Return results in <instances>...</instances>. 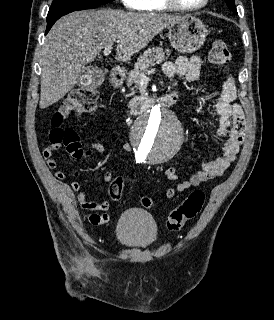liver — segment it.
<instances>
[{"label": "liver", "instance_id": "obj_1", "mask_svg": "<svg viewBox=\"0 0 274 320\" xmlns=\"http://www.w3.org/2000/svg\"><path fill=\"white\" fill-rule=\"evenodd\" d=\"M179 18L111 8L63 16L47 34L41 52L39 108L43 110L64 98L82 80L86 64L94 62L107 46L117 44L115 60L128 62Z\"/></svg>", "mask_w": 274, "mask_h": 320}]
</instances>
